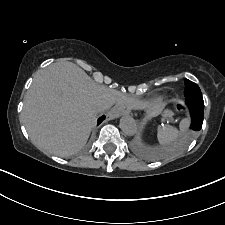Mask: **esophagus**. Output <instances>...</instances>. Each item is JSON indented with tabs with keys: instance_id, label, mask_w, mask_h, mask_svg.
<instances>
[{
	"instance_id": "esophagus-1",
	"label": "esophagus",
	"mask_w": 225,
	"mask_h": 225,
	"mask_svg": "<svg viewBox=\"0 0 225 225\" xmlns=\"http://www.w3.org/2000/svg\"><path fill=\"white\" fill-rule=\"evenodd\" d=\"M113 113L116 117L122 116L124 114L129 113V109L124 106V105H120L118 104L114 109H113Z\"/></svg>"
}]
</instances>
